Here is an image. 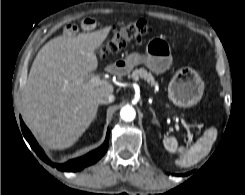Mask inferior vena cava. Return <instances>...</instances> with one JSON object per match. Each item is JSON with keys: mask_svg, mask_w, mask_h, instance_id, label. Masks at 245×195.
Wrapping results in <instances>:
<instances>
[{"mask_svg": "<svg viewBox=\"0 0 245 195\" xmlns=\"http://www.w3.org/2000/svg\"><path fill=\"white\" fill-rule=\"evenodd\" d=\"M115 99L114 95L112 94H101L98 98H97V103L98 104H108L113 102Z\"/></svg>", "mask_w": 245, "mask_h": 195, "instance_id": "602c4592", "label": "inferior vena cava"}]
</instances>
